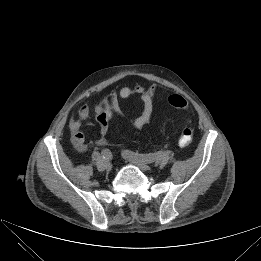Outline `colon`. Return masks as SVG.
Instances as JSON below:
<instances>
[{"label": "colon", "instance_id": "5ec220e1", "mask_svg": "<svg viewBox=\"0 0 261 261\" xmlns=\"http://www.w3.org/2000/svg\"><path fill=\"white\" fill-rule=\"evenodd\" d=\"M168 103L176 109H185L187 107V102L180 95L169 96ZM192 139H193V129L190 126H186L180 134L178 143L180 146H187L192 142Z\"/></svg>", "mask_w": 261, "mask_h": 261}]
</instances>
